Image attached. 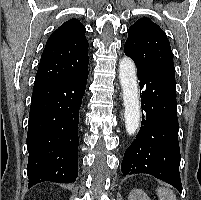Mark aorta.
I'll use <instances>...</instances> for the list:
<instances>
[{
	"instance_id": "aorta-1",
	"label": "aorta",
	"mask_w": 201,
	"mask_h": 200,
	"mask_svg": "<svg viewBox=\"0 0 201 200\" xmlns=\"http://www.w3.org/2000/svg\"><path fill=\"white\" fill-rule=\"evenodd\" d=\"M119 78L123 91L125 127L129 135L136 133L140 122V101L135 64L129 57L119 63Z\"/></svg>"
}]
</instances>
